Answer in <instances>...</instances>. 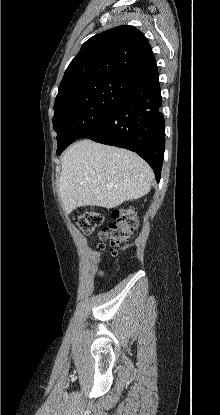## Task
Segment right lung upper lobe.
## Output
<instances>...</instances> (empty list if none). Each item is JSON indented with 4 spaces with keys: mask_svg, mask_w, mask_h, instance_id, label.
<instances>
[{
    "mask_svg": "<svg viewBox=\"0 0 220 415\" xmlns=\"http://www.w3.org/2000/svg\"><path fill=\"white\" fill-rule=\"evenodd\" d=\"M158 75L147 38L137 28L122 25L88 39L71 61L59 91L74 84L117 78L138 85Z\"/></svg>",
    "mask_w": 220,
    "mask_h": 415,
    "instance_id": "1",
    "label": "right lung upper lobe"
}]
</instances>
